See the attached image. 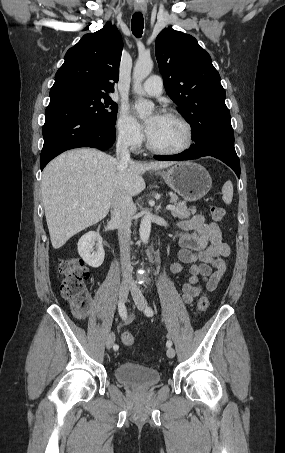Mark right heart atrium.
<instances>
[{
  "label": "right heart atrium",
  "instance_id": "right-heart-atrium-1",
  "mask_svg": "<svg viewBox=\"0 0 285 453\" xmlns=\"http://www.w3.org/2000/svg\"><path fill=\"white\" fill-rule=\"evenodd\" d=\"M115 130L118 141L132 150H137L144 140L140 124L126 109L120 110L116 119Z\"/></svg>",
  "mask_w": 285,
  "mask_h": 453
}]
</instances>
